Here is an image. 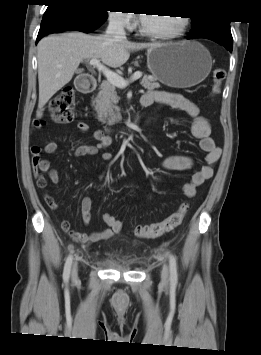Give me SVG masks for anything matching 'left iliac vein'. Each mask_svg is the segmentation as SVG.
<instances>
[{"mask_svg": "<svg viewBox=\"0 0 261 355\" xmlns=\"http://www.w3.org/2000/svg\"><path fill=\"white\" fill-rule=\"evenodd\" d=\"M161 282L163 285H168L169 283V268L167 264H164L161 271Z\"/></svg>", "mask_w": 261, "mask_h": 355, "instance_id": "left-iliac-vein-1", "label": "left iliac vein"}]
</instances>
